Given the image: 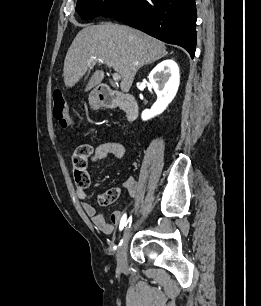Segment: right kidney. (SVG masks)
Wrapping results in <instances>:
<instances>
[{
	"instance_id": "1",
	"label": "right kidney",
	"mask_w": 261,
	"mask_h": 306,
	"mask_svg": "<svg viewBox=\"0 0 261 306\" xmlns=\"http://www.w3.org/2000/svg\"><path fill=\"white\" fill-rule=\"evenodd\" d=\"M148 78L157 94V101L150 110L142 112V120L161 114L174 99L180 83L179 67L173 60H164L151 71Z\"/></svg>"
}]
</instances>
